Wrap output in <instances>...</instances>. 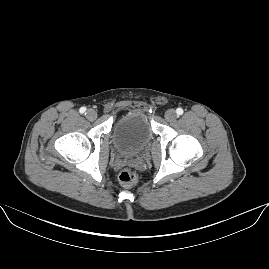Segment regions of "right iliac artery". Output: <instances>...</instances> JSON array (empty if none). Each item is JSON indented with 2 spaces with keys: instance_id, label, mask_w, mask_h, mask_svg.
Here are the masks:
<instances>
[{
  "instance_id": "1",
  "label": "right iliac artery",
  "mask_w": 269,
  "mask_h": 269,
  "mask_svg": "<svg viewBox=\"0 0 269 269\" xmlns=\"http://www.w3.org/2000/svg\"><path fill=\"white\" fill-rule=\"evenodd\" d=\"M79 111H80L81 114H84L86 112V108L85 107H81Z\"/></svg>"
}]
</instances>
